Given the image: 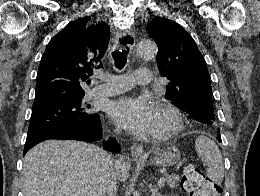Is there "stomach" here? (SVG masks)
<instances>
[{
	"label": "stomach",
	"instance_id": "stomach-1",
	"mask_svg": "<svg viewBox=\"0 0 260 196\" xmlns=\"http://www.w3.org/2000/svg\"><path fill=\"white\" fill-rule=\"evenodd\" d=\"M181 156L180 150L176 146H169V148H154L151 160H136L139 164H152V166H173L179 162Z\"/></svg>",
	"mask_w": 260,
	"mask_h": 196
}]
</instances>
